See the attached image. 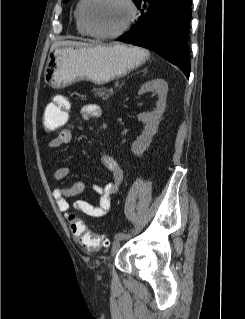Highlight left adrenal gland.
Segmentation results:
<instances>
[{"label":"left adrenal gland","mask_w":245,"mask_h":319,"mask_svg":"<svg viewBox=\"0 0 245 319\" xmlns=\"http://www.w3.org/2000/svg\"><path fill=\"white\" fill-rule=\"evenodd\" d=\"M146 71H147V69H144V70H143V72H146Z\"/></svg>","instance_id":"1"}]
</instances>
